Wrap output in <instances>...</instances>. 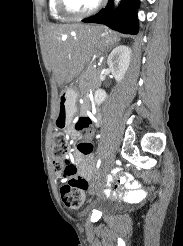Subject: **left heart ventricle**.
<instances>
[{
	"instance_id": "b2bd125f",
	"label": "left heart ventricle",
	"mask_w": 183,
	"mask_h": 246,
	"mask_svg": "<svg viewBox=\"0 0 183 246\" xmlns=\"http://www.w3.org/2000/svg\"><path fill=\"white\" fill-rule=\"evenodd\" d=\"M98 0H68L71 9L83 12L90 9Z\"/></svg>"
}]
</instances>
